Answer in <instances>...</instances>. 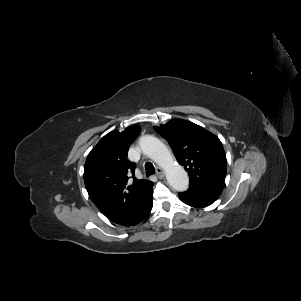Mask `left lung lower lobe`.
<instances>
[{
	"label": "left lung lower lobe",
	"mask_w": 301,
	"mask_h": 301,
	"mask_svg": "<svg viewBox=\"0 0 301 301\" xmlns=\"http://www.w3.org/2000/svg\"><path fill=\"white\" fill-rule=\"evenodd\" d=\"M219 194V192L190 186L187 191L180 192L178 195L180 200L185 204L192 207L204 208L211 205L218 198Z\"/></svg>",
	"instance_id": "0a47b994"
}]
</instances>
